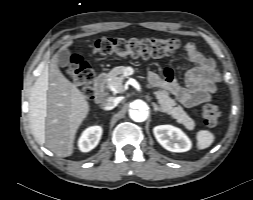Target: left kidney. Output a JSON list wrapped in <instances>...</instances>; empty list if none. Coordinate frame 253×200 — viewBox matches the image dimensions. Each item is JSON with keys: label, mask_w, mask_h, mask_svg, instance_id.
<instances>
[{"label": "left kidney", "mask_w": 253, "mask_h": 200, "mask_svg": "<svg viewBox=\"0 0 253 200\" xmlns=\"http://www.w3.org/2000/svg\"><path fill=\"white\" fill-rule=\"evenodd\" d=\"M191 124L193 127V120ZM153 132L157 141L168 151L186 152L191 148L189 138L174 126L160 125L155 127Z\"/></svg>", "instance_id": "1"}]
</instances>
